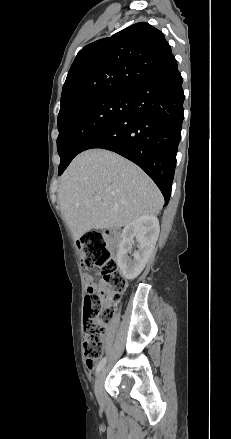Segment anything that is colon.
<instances>
[{"mask_svg": "<svg viewBox=\"0 0 231 439\" xmlns=\"http://www.w3.org/2000/svg\"><path fill=\"white\" fill-rule=\"evenodd\" d=\"M78 247L83 269L95 270L98 277V289L88 292L84 300V353L87 365L92 369L101 355L103 334L112 315V309L104 307L103 297L117 301L126 281L102 234H86Z\"/></svg>", "mask_w": 231, "mask_h": 439, "instance_id": "colon-1", "label": "colon"}]
</instances>
